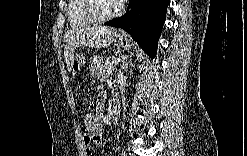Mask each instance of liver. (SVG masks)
Masks as SVG:
<instances>
[{
	"label": "liver",
	"mask_w": 247,
	"mask_h": 156,
	"mask_svg": "<svg viewBox=\"0 0 247 156\" xmlns=\"http://www.w3.org/2000/svg\"><path fill=\"white\" fill-rule=\"evenodd\" d=\"M115 35V28L101 25L68 30L64 35V56L68 70H72L74 52L77 47H109Z\"/></svg>",
	"instance_id": "1"
}]
</instances>
